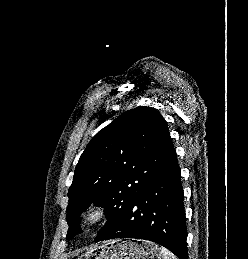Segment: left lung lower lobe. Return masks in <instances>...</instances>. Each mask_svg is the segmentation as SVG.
I'll use <instances>...</instances> for the list:
<instances>
[{"instance_id": "obj_1", "label": "left lung lower lobe", "mask_w": 248, "mask_h": 259, "mask_svg": "<svg viewBox=\"0 0 248 259\" xmlns=\"http://www.w3.org/2000/svg\"><path fill=\"white\" fill-rule=\"evenodd\" d=\"M177 156L126 211L94 242L137 238L158 243L179 259H188L186 223Z\"/></svg>"}]
</instances>
